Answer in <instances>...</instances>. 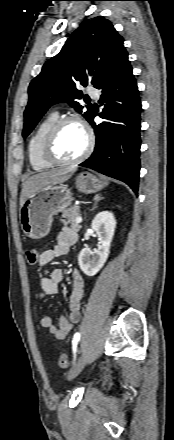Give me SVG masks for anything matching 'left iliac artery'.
Wrapping results in <instances>:
<instances>
[{
	"label": "left iliac artery",
	"mask_w": 174,
	"mask_h": 440,
	"mask_svg": "<svg viewBox=\"0 0 174 440\" xmlns=\"http://www.w3.org/2000/svg\"><path fill=\"white\" fill-rule=\"evenodd\" d=\"M79 340H80V333H76L74 335V337H73V340H72L73 352H74V360L76 358V348H77V344H78Z\"/></svg>",
	"instance_id": "left-iliac-artery-1"
}]
</instances>
